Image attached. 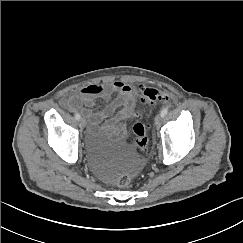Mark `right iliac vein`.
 <instances>
[{"label": "right iliac vein", "mask_w": 243, "mask_h": 243, "mask_svg": "<svg viewBox=\"0 0 243 243\" xmlns=\"http://www.w3.org/2000/svg\"><path fill=\"white\" fill-rule=\"evenodd\" d=\"M79 125H80V128L83 129L86 126L85 120L81 119Z\"/></svg>", "instance_id": "63e3f726"}]
</instances>
